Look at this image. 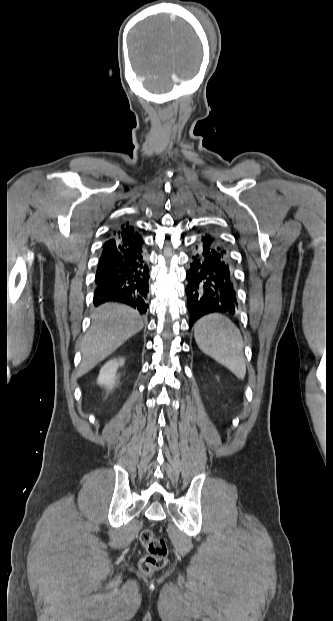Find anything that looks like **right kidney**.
<instances>
[{"instance_id": "1", "label": "right kidney", "mask_w": 333, "mask_h": 621, "mask_svg": "<svg viewBox=\"0 0 333 621\" xmlns=\"http://www.w3.org/2000/svg\"><path fill=\"white\" fill-rule=\"evenodd\" d=\"M124 364V360H110L100 370L98 376V384L104 386L106 389L111 390L115 385L117 379L116 372L119 366Z\"/></svg>"}]
</instances>
